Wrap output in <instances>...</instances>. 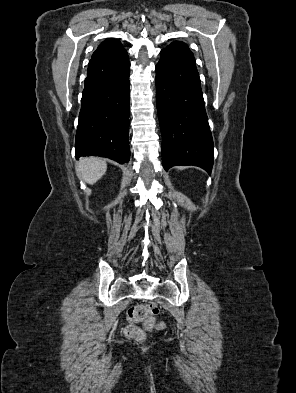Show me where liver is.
Segmentation results:
<instances>
[{
	"label": "liver",
	"mask_w": 296,
	"mask_h": 393,
	"mask_svg": "<svg viewBox=\"0 0 296 393\" xmlns=\"http://www.w3.org/2000/svg\"><path fill=\"white\" fill-rule=\"evenodd\" d=\"M107 164L97 157L81 158L76 164L77 174L88 184L96 183L106 172Z\"/></svg>",
	"instance_id": "6515ba94"
}]
</instances>
